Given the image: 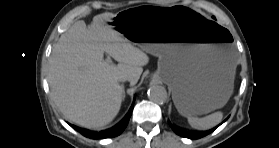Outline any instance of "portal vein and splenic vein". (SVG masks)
Masks as SVG:
<instances>
[{"instance_id": "1", "label": "portal vein and splenic vein", "mask_w": 279, "mask_h": 148, "mask_svg": "<svg viewBox=\"0 0 279 148\" xmlns=\"http://www.w3.org/2000/svg\"><path fill=\"white\" fill-rule=\"evenodd\" d=\"M112 62L111 58L108 56L106 59V63L110 64Z\"/></svg>"}]
</instances>
